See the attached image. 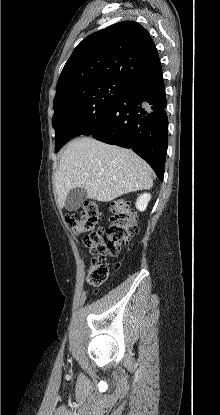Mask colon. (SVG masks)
Masks as SVG:
<instances>
[{"instance_id": "1", "label": "colon", "mask_w": 220, "mask_h": 415, "mask_svg": "<svg viewBox=\"0 0 220 415\" xmlns=\"http://www.w3.org/2000/svg\"><path fill=\"white\" fill-rule=\"evenodd\" d=\"M102 212L97 203L86 202L77 214L66 216V223L74 234H83L84 245L92 255L87 281L94 287H103L110 275L107 257H115L121 247L127 244L137 230L133 211L128 202L118 199L111 204L110 223L100 228Z\"/></svg>"}]
</instances>
